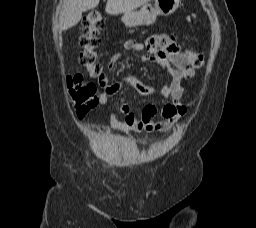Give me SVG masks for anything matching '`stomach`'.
Returning <instances> with one entry per match:
<instances>
[{"label": "stomach", "instance_id": "0dacf381", "mask_svg": "<svg viewBox=\"0 0 256 228\" xmlns=\"http://www.w3.org/2000/svg\"><path fill=\"white\" fill-rule=\"evenodd\" d=\"M180 0H154L146 3L139 10L123 12L122 21L126 27H137L155 23L158 15H170L178 8Z\"/></svg>", "mask_w": 256, "mask_h": 228}]
</instances>
